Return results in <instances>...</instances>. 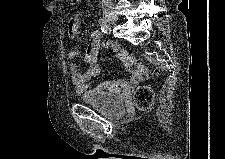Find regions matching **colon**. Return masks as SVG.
<instances>
[{
  "label": "colon",
  "mask_w": 225,
  "mask_h": 159,
  "mask_svg": "<svg viewBox=\"0 0 225 159\" xmlns=\"http://www.w3.org/2000/svg\"><path fill=\"white\" fill-rule=\"evenodd\" d=\"M72 1L76 2L78 0ZM115 56L123 62L125 68L130 73L132 80H140L148 75L147 67L130 51L126 49H118L115 53ZM153 98L154 94L152 89L145 85L140 86L134 94L136 107L141 111L148 110L151 107Z\"/></svg>",
  "instance_id": "obj_1"
}]
</instances>
